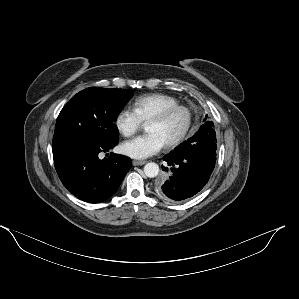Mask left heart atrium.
Wrapping results in <instances>:
<instances>
[{"mask_svg":"<svg viewBox=\"0 0 299 299\" xmlns=\"http://www.w3.org/2000/svg\"><path fill=\"white\" fill-rule=\"evenodd\" d=\"M165 145L164 140L157 133H148L125 141L120 151L134 159H145L157 154Z\"/></svg>","mask_w":299,"mask_h":299,"instance_id":"obj_1","label":"left heart atrium"}]
</instances>
